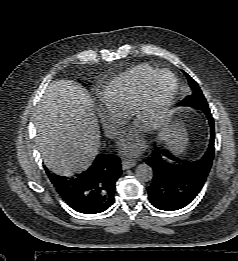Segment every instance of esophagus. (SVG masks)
I'll use <instances>...</instances> for the list:
<instances>
[{
  "mask_svg": "<svg viewBox=\"0 0 238 261\" xmlns=\"http://www.w3.org/2000/svg\"><path fill=\"white\" fill-rule=\"evenodd\" d=\"M121 164H122V169L126 170L134 167L136 165V162L134 160L125 159L122 161Z\"/></svg>",
  "mask_w": 238,
  "mask_h": 261,
  "instance_id": "obj_1",
  "label": "esophagus"
}]
</instances>
